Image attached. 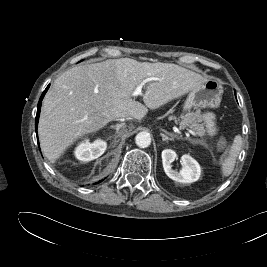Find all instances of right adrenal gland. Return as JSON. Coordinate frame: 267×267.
<instances>
[{"instance_id":"2a0ac1e0","label":"right adrenal gland","mask_w":267,"mask_h":267,"mask_svg":"<svg viewBox=\"0 0 267 267\" xmlns=\"http://www.w3.org/2000/svg\"><path fill=\"white\" fill-rule=\"evenodd\" d=\"M125 123H121V124H116V125H111L110 128H113L116 130V133L119 132L120 128L124 127Z\"/></svg>"}]
</instances>
